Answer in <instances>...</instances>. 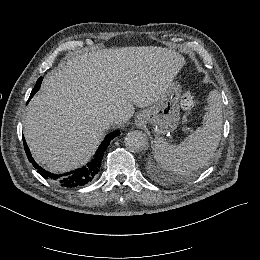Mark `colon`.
<instances>
[{
  "instance_id": "colon-1",
  "label": "colon",
  "mask_w": 260,
  "mask_h": 260,
  "mask_svg": "<svg viewBox=\"0 0 260 260\" xmlns=\"http://www.w3.org/2000/svg\"><path fill=\"white\" fill-rule=\"evenodd\" d=\"M181 105L183 109L186 111L187 118L191 119V111L193 110L195 105V96L192 93L183 94L181 97Z\"/></svg>"
}]
</instances>
